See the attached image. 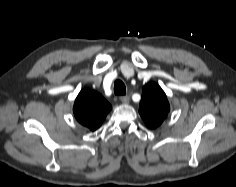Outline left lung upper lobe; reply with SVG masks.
Wrapping results in <instances>:
<instances>
[{
  "mask_svg": "<svg viewBox=\"0 0 236 187\" xmlns=\"http://www.w3.org/2000/svg\"><path fill=\"white\" fill-rule=\"evenodd\" d=\"M170 110L167 96L156 83L143 87L139 113L150 128L160 126Z\"/></svg>",
  "mask_w": 236,
  "mask_h": 187,
  "instance_id": "5c2ea615",
  "label": "left lung upper lobe"
}]
</instances>
